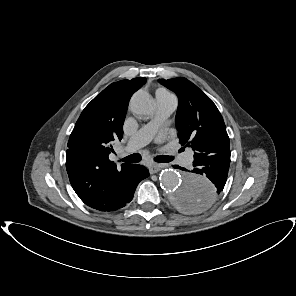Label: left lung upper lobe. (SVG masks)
Listing matches in <instances>:
<instances>
[{
  "instance_id": "obj_1",
  "label": "left lung upper lobe",
  "mask_w": 296,
  "mask_h": 296,
  "mask_svg": "<svg viewBox=\"0 0 296 296\" xmlns=\"http://www.w3.org/2000/svg\"><path fill=\"white\" fill-rule=\"evenodd\" d=\"M159 82L178 96L176 124L180 144L192 148L194 159L230 152L223 118L209 97L186 78Z\"/></svg>"
}]
</instances>
